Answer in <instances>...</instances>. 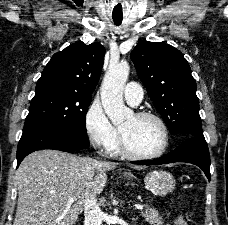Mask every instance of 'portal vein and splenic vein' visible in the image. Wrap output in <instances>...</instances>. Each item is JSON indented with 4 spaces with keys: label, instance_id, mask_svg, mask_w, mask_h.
<instances>
[{
    "label": "portal vein and splenic vein",
    "instance_id": "18ae733b",
    "mask_svg": "<svg viewBox=\"0 0 228 225\" xmlns=\"http://www.w3.org/2000/svg\"><path fill=\"white\" fill-rule=\"evenodd\" d=\"M69 201H72V203H74V201H77V197H71ZM134 207H136V209H143L142 205H134Z\"/></svg>",
    "mask_w": 228,
    "mask_h": 225
}]
</instances>
